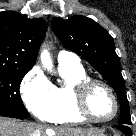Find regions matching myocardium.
<instances>
[{"label":"myocardium","mask_w":136,"mask_h":136,"mask_svg":"<svg viewBox=\"0 0 136 136\" xmlns=\"http://www.w3.org/2000/svg\"><path fill=\"white\" fill-rule=\"evenodd\" d=\"M96 87H103L109 93L113 101L114 110L112 115L108 118H97L91 113L89 109V97L93 89ZM73 97L77 112L86 121L93 123H107L112 121L119 112V101L116 93L109 84L99 79L88 77L78 82L73 88Z\"/></svg>","instance_id":"1"}]
</instances>
